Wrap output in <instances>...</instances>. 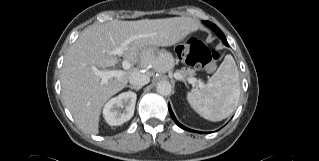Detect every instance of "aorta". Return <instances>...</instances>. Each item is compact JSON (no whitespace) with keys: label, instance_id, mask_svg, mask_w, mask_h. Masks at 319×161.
Returning a JSON list of instances; mask_svg holds the SVG:
<instances>
[{"label":"aorta","instance_id":"1","mask_svg":"<svg viewBox=\"0 0 319 161\" xmlns=\"http://www.w3.org/2000/svg\"><path fill=\"white\" fill-rule=\"evenodd\" d=\"M156 89L160 95L167 96L171 93L172 87H171L170 82L164 80V81H160L157 84Z\"/></svg>","mask_w":319,"mask_h":161}]
</instances>
